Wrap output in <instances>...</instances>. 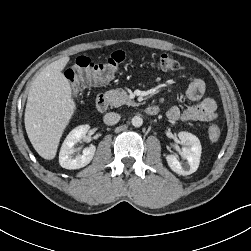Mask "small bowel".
<instances>
[{"label": "small bowel", "instance_id": "small-bowel-1", "mask_svg": "<svg viewBox=\"0 0 251 251\" xmlns=\"http://www.w3.org/2000/svg\"><path fill=\"white\" fill-rule=\"evenodd\" d=\"M205 82L199 77H193L189 83L186 96L194 102L184 109L174 105L170 107L166 116L171 121H211L216 118V102L211 97H204Z\"/></svg>", "mask_w": 251, "mask_h": 251}]
</instances>
